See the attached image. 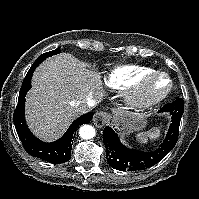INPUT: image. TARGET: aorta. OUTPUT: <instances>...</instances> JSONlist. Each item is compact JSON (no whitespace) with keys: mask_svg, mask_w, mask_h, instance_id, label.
<instances>
[{"mask_svg":"<svg viewBox=\"0 0 199 199\" xmlns=\"http://www.w3.org/2000/svg\"><path fill=\"white\" fill-rule=\"evenodd\" d=\"M95 134L96 130L91 125H83L79 129V135L82 139H91Z\"/></svg>","mask_w":199,"mask_h":199,"instance_id":"aorta-1","label":"aorta"}]
</instances>
